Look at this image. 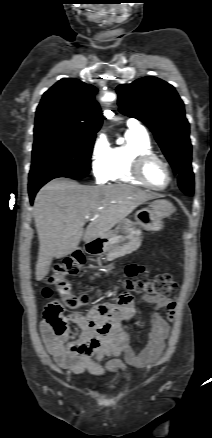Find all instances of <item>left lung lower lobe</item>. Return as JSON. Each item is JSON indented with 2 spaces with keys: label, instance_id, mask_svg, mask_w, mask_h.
<instances>
[{
  "label": "left lung lower lobe",
  "instance_id": "1",
  "mask_svg": "<svg viewBox=\"0 0 212 438\" xmlns=\"http://www.w3.org/2000/svg\"><path fill=\"white\" fill-rule=\"evenodd\" d=\"M178 183L183 192L188 195H193L194 189V174L191 163L183 166L178 173Z\"/></svg>",
  "mask_w": 212,
  "mask_h": 438
}]
</instances>
